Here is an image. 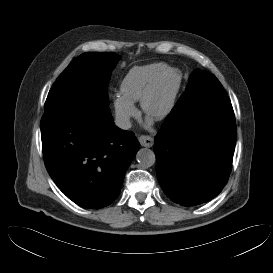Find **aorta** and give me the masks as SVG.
Masks as SVG:
<instances>
[{
	"label": "aorta",
	"instance_id": "obj_1",
	"mask_svg": "<svg viewBox=\"0 0 273 273\" xmlns=\"http://www.w3.org/2000/svg\"><path fill=\"white\" fill-rule=\"evenodd\" d=\"M136 159L138 163L144 168L151 167L156 162L154 152L147 148L140 149L136 155Z\"/></svg>",
	"mask_w": 273,
	"mask_h": 273
}]
</instances>
